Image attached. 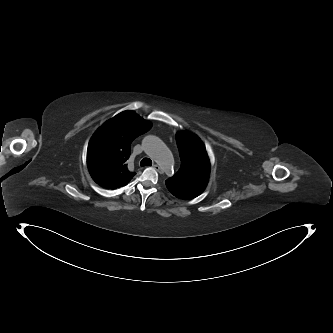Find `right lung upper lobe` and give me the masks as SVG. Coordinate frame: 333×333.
I'll list each match as a JSON object with an SVG mask.
<instances>
[{
	"label": "right lung upper lobe",
	"instance_id": "right-lung-upper-lobe-1",
	"mask_svg": "<svg viewBox=\"0 0 333 333\" xmlns=\"http://www.w3.org/2000/svg\"><path fill=\"white\" fill-rule=\"evenodd\" d=\"M152 124L133 111H123L106 121L92 136L87 165L94 181L107 189L127 185L135 176L127 167L131 142Z\"/></svg>",
	"mask_w": 333,
	"mask_h": 333
}]
</instances>
